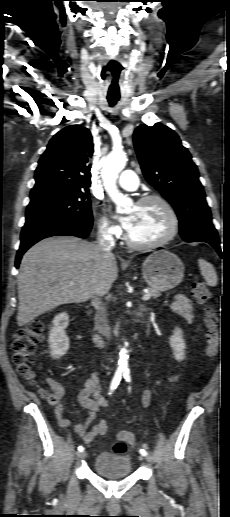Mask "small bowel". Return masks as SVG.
Returning a JSON list of instances; mask_svg holds the SVG:
<instances>
[{
    "label": "small bowel",
    "mask_w": 230,
    "mask_h": 517,
    "mask_svg": "<svg viewBox=\"0 0 230 517\" xmlns=\"http://www.w3.org/2000/svg\"><path fill=\"white\" fill-rule=\"evenodd\" d=\"M171 309L183 316L187 321L191 322L193 319V304L189 298L184 295H177L171 303ZM179 378L178 374L168 377V382L176 381ZM61 388V386H60ZM62 390V388H61ZM77 400L79 404L88 410V414L81 423H73L63 416V405L58 403L54 409V417L57 424L62 428L72 429L85 443H91L95 438L102 436L107 431V424L105 421L93 425L97 418L98 412L101 408L108 405L101 393V385L97 373L92 374L84 383L83 389L78 393ZM152 402V391L149 386L143 392L142 403L145 407ZM129 431H120L117 438L122 437ZM134 444V443H133Z\"/></svg>",
    "instance_id": "small-bowel-1"
}]
</instances>
